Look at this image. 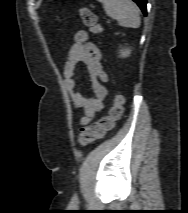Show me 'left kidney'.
<instances>
[{
	"label": "left kidney",
	"instance_id": "5707ae66",
	"mask_svg": "<svg viewBox=\"0 0 188 213\" xmlns=\"http://www.w3.org/2000/svg\"><path fill=\"white\" fill-rule=\"evenodd\" d=\"M120 57L126 58L129 57L131 54V49L130 48H122L119 51Z\"/></svg>",
	"mask_w": 188,
	"mask_h": 213
}]
</instances>
